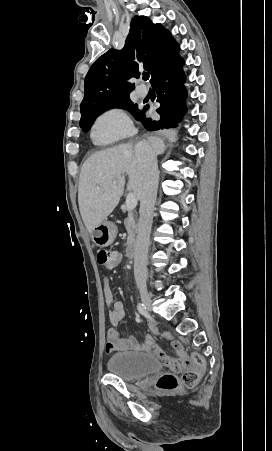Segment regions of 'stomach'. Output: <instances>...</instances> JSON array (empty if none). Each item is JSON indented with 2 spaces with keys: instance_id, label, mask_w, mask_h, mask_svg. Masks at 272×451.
<instances>
[{
  "instance_id": "stomach-1",
  "label": "stomach",
  "mask_w": 272,
  "mask_h": 451,
  "mask_svg": "<svg viewBox=\"0 0 272 451\" xmlns=\"http://www.w3.org/2000/svg\"><path fill=\"white\" fill-rule=\"evenodd\" d=\"M117 233V227L112 222L103 220L101 224L95 226L91 231L92 241L99 247H107L113 243Z\"/></svg>"
}]
</instances>
